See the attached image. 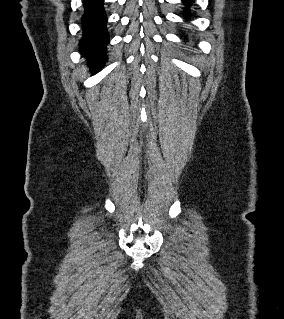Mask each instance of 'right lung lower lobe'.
<instances>
[{"instance_id":"1","label":"right lung lower lobe","mask_w":284,"mask_h":319,"mask_svg":"<svg viewBox=\"0 0 284 319\" xmlns=\"http://www.w3.org/2000/svg\"><path fill=\"white\" fill-rule=\"evenodd\" d=\"M104 0H84L83 37L80 50L89 61L93 74L106 59V45L109 41L106 30V15L103 9Z\"/></svg>"}]
</instances>
